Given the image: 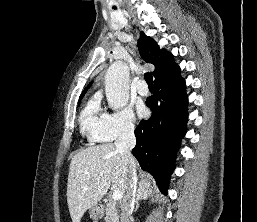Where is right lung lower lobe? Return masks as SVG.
<instances>
[{
	"label": "right lung lower lobe",
	"mask_w": 257,
	"mask_h": 222,
	"mask_svg": "<svg viewBox=\"0 0 257 222\" xmlns=\"http://www.w3.org/2000/svg\"><path fill=\"white\" fill-rule=\"evenodd\" d=\"M154 85V94L146 100L152 116L135 129L137 143L132 154L166 195L175 155L186 133L188 98L180 70L156 78Z\"/></svg>",
	"instance_id": "1"
}]
</instances>
